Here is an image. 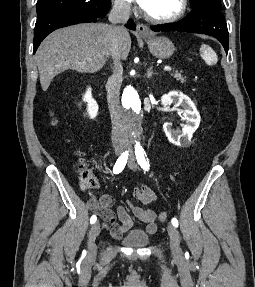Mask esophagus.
<instances>
[{"label": "esophagus", "instance_id": "1", "mask_svg": "<svg viewBox=\"0 0 255 287\" xmlns=\"http://www.w3.org/2000/svg\"><path fill=\"white\" fill-rule=\"evenodd\" d=\"M137 31L143 37L149 36L151 33L150 28L147 25H144L143 23H138Z\"/></svg>", "mask_w": 255, "mask_h": 287}]
</instances>
